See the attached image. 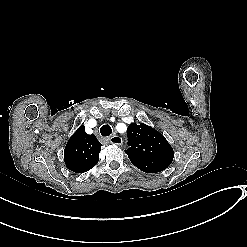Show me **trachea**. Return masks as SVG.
I'll use <instances>...</instances> for the list:
<instances>
[{
	"instance_id": "obj_1",
	"label": "trachea",
	"mask_w": 247,
	"mask_h": 247,
	"mask_svg": "<svg viewBox=\"0 0 247 247\" xmlns=\"http://www.w3.org/2000/svg\"><path fill=\"white\" fill-rule=\"evenodd\" d=\"M100 133L102 136H110L111 133H112V129L109 125H103L101 128H100Z\"/></svg>"
}]
</instances>
